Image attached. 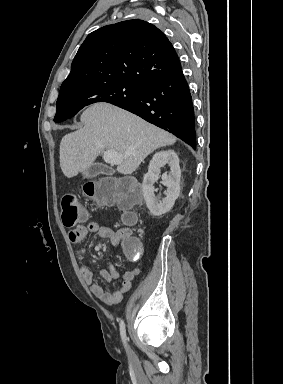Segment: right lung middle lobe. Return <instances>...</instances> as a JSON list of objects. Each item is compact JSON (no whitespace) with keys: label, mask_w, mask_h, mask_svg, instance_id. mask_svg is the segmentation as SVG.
I'll return each instance as SVG.
<instances>
[{"label":"right lung middle lobe","mask_w":283,"mask_h":384,"mask_svg":"<svg viewBox=\"0 0 283 384\" xmlns=\"http://www.w3.org/2000/svg\"><path fill=\"white\" fill-rule=\"evenodd\" d=\"M141 92L142 86L121 80L60 88L54 121H65L92 103L118 104L137 98Z\"/></svg>","instance_id":"obj_1"}]
</instances>
